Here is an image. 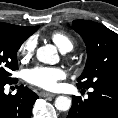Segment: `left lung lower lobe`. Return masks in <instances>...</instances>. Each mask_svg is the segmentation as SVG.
<instances>
[{"instance_id": "1", "label": "left lung lower lobe", "mask_w": 118, "mask_h": 118, "mask_svg": "<svg viewBox=\"0 0 118 118\" xmlns=\"http://www.w3.org/2000/svg\"><path fill=\"white\" fill-rule=\"evenodd\" d=\"M67 118H118V86L94 87L84 100L73 96Z\"/></svg>"}]
</instances>
